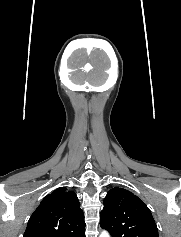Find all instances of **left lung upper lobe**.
Returning a JSON list of instances; mask_svg holds the SVG:
<instances>
[{
    "instance_id": "1",
    "label": "left lung upper lobe",
    "mask_w": 181,
    "mask_h": 237,
    "mask_svg": "<svg viewBox=\"0 0 181 237\" xmlns=\"http://www.w3.org/2000/svg\"><path fill=\"white\" fill-rule=\"evenodd\" d=\"M100 225L112 237H159L146 204L123 188L111 189L100 214Z\"/></svg>"
}]
</instances>
